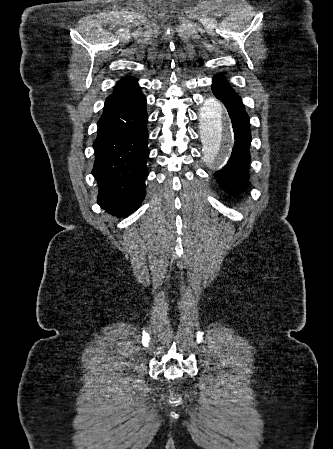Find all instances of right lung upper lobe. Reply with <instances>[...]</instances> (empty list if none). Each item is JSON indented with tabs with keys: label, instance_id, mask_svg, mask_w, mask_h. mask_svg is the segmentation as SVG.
Here are the masks:
<instances>
[{
	"label": "right lung upper lobe",
	"instance_id": "obj_1",
	"mask_svg": "<svg viewBox=\"0 0 333 449\" xmlns=\"http://www.w3.org/2000/svg\"><path fill=\"white\" fill-rule=\"evenodd\" d=\"M137 81V78L130 76H126L118 81L114 92L106 99L104 108L119 103L129 96L140 92Z\"/></svg>",
	"mask_w": 333,
	"mask_h": 449
}]
</instances>
